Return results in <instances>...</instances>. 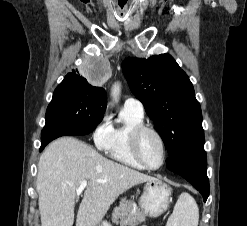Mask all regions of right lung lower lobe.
Wrapping results in <instances>:
<instances>
[{
	"instance_id": "98d812e1",
	"label": "right lung lower lobe",
	"mask_w": 247,
	"mask_h": 226,
	"mask_svg": "<svg viewBox=\"0 0 247 226\" xmlns=\"http://www.w3.org/2000/svg\"><path fill=\"white\" fill-rule=\"evenodd\" d=\"M88 134L86 132L74 131V130H66L60 128H51V129H43L42 130V143L40 151L52 140L60 136H76V135H85Z\"/></svg>"
}]
</instances>
